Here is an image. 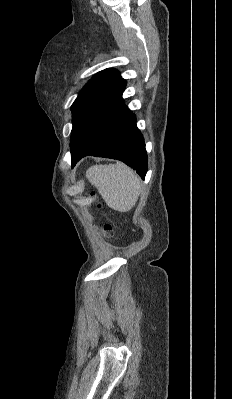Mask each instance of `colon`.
Returning a JSON list of instances; mask_svg holds the SVG:
<instances>
[{
	"label": "colon",
	"mask_w": 232,
	"mask_h": 399,
	"mask_svg": "<svg viewBox=\"0 0 232 399\" xmlns=\"http://www.w3.org/2000/svg\"><path fill=\"white\" fill-rule=\"evenodd\" d=\"M86 206L90 207L91 206V197L87 196L86 197ZM102 209H107V200H102ZM106 228L109 230V232H114L116 229L115 225H111V220L107 219L106 220ZM98 235H103V230H98Z\"/></svg>",
	"instance_id": "1"
}]
</instances>
